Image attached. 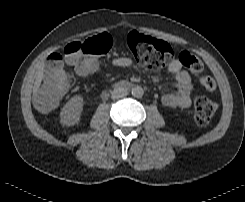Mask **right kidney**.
Wrapping results in <instances>:
<instances>
[{
  "instance_id": "ca27d5eb",
  "label": "right kidney",
  "mask_w": 245,
  "mask_h": 202,
  "mask_svg": "<svg viewBox=\"0 0 245 202\" xmlns=\"http://www.w3.org/2000/svg\"><path fill=\"white\" fill-rule=\"evenodd\" d=\"M82 111L83 97L80 95L72 97L61 110V123L66 126H73L77 124L80 120Z\"/></svg>"
}]
</instances>
